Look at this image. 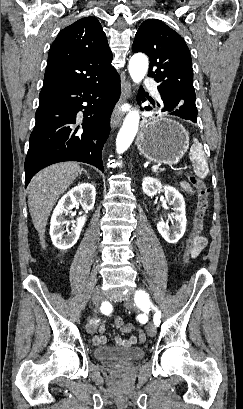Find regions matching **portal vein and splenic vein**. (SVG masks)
<instances>
[{"label": "portal vein and splenic vein", "instance_id": "portal-vein-and-splenic-vein-1", "mask_svg": "<svg viewBox=\"0 0 243 409\" xmlns=\"http://www.w3.org/2000/svg\"><path fill=\"white\" fill-rule=\"evenodd\" d=\"M159 168V165H154V166H152V169L153 170H157Z\"/></svg>", "mask_w": 243, "mask_h": 409}]
</instances>
